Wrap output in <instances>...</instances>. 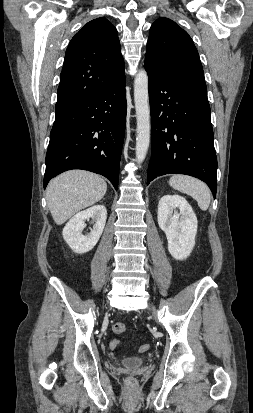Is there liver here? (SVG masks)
Returning a JSON list of instances; mask_svg holds the SVG:
<instances>
[{
	"mask_svg": "<svg viewBox=\"0 0 253 413\" xmlns=\"http://www.w3.org/2000/svg\"><path fill=\"white\" fill-rule=\"evenodd\" d=\"M107 191L103 178L84 170H71L52 179L46 190L47 205L61 225L80 210L100 201Z\"/></svg>",
	"mask_w": 253,
	"mask_h": 413,
	"instance_id": "6515ba94",
	"label": "liver"
}]
</instances>
